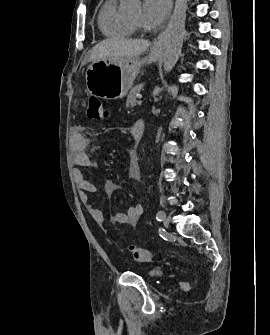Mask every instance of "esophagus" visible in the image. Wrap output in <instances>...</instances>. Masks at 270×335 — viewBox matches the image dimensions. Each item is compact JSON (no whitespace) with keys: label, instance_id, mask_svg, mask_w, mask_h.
Instances as JSON below:
<instances>
[{"label":"esophagus","instance_id":"obj_1","mask_svg":"<svg viewBox=\"0 0 270 335\" xmlns=\"http://www.w3.org/2000/svg\"><path fill=\"white\" fill-rule=\"evenodd\" d=\"M173 6V0H168V17L171 14ZM166 29H164L154 40L153 42V49L154 50H160L163 48V45L165 43V37H166Z\"/></svg>","mask_w":270,"mask_h":335}]
</instances>
